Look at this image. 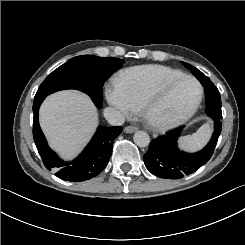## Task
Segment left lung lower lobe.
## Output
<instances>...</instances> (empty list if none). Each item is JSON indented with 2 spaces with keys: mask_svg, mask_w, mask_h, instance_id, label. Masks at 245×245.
Segmentation results:
<instances>
[{
  "mask_svg": "<svg viewBox=\"0 0 245 245\" xmlns=\"http://www.w3.org/2000/svg\"><path fill=\"white\" fill-rule=\"evenodd\" d=\"M206 94V113L214 120L215 131L205 148L196 153H186L177 147V139L183 127L153 139L143 156L147 169L164 179H181L203 166L212 156L222 130L221 98L218 89L205 76L198 78Z\"/></svg>",
  "mask_w": 245,
  "mask_h": 245,
  "instance_id": "left-lung-lower-lobe-1",
  "label": "left lung lower lobe"
}]
</instances>
